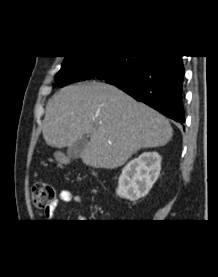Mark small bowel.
<instances>
[{
  "instance_id": "obj_1",
  "label": "small bowel",
  "mask_w": 218,
  "mask_h": 277,
  "mask_svg": "<svg viewBox=\"0 0 218 277\" xmlns=\"http://www.w3.org/2000/svg\"><path fill=\"white\" fill-rule=\"evenodd\" d=\"M60 203H71L79 206L82 203V197L79 194L73 193L69 189L61 190L54 202L45 209V216L47 219H52L55 216L56 210Z\"/></svg>"
}]
</instances>
